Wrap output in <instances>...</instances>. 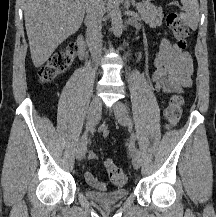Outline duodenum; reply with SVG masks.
<instances>
[{"label": "duodenum", "mask_w": 216, "mask_h": 217, "mask_svg": "<svg viewBox=\"0 0 216 217\" xmlns=\"http://www.w3.org/2000/svg\"><path fill=\"white\" fill-rule=\"evenodd\" d=\"M78 43H79V48H80L79 56L81 58H84V56H85V42H84V39L82 36H79Z\"/></svg>", "instance_id": "duodenum-1"}]
</instances>
